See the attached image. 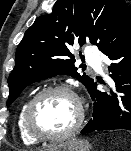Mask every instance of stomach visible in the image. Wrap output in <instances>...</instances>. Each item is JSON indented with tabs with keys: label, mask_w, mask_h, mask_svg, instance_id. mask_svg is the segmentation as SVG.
<instances>
[{
	"label": "stomach",
	"mask_w": 131,
	"mask_h": 151,
	"mask_svg": "<svg viewBox=\"0 0 131 151\" xmlns=\"http://www.w3.org/2000/svg\"><path fill=\"white\" fill-rule=\"evenodd\" d=\"M91 145L84 139H68L48 147L44 151H90Z\"/></svg>",
	"instance_id": "0dacf381"
}]
</instances>
